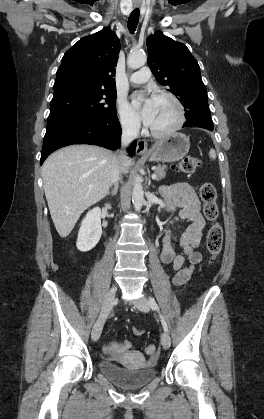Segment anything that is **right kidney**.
Returning a JSON list of instances; mask_svg holds the SVG:
<instances>
[{
  "instance_id": "right-kidney-1",
  "label": "right kidney",
  "mask_w": 264,
  "mask_h": 419,
  "mask_svg": "<svg viewBox=\"0 0 264 419\" xmlns=\"http://www.w3.org/2000/svg\"><path fill=\"white\" fill-rule=\"evenodd\" d=\"M105 206L108 209L111 208L109 204ZM101 235V209L96 207L86 214L81 223L76 243L77 249L81 252L90 251L99 242Z\"/></svg>"
}]
</instances>
